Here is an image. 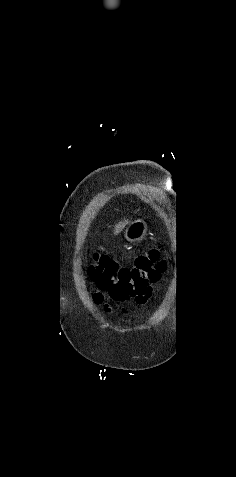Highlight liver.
<instances>
[{
    "label": "liver",
    "instance_id": "1",
    "mask_svg": "<svg viewBox=\"0 0 236 477\" xmlns=\"http://www.w3.org/2000/svg\"><path fill=\"white\" fill-rule=\"evenodd\" d=\"M127 224H128V220L119 222V223L115 226L114 234H115V235L119 234V233L124 229V227H125Z\"/></svg>",
    "mask_w": 236,
    "mask_h": 477
}]
</instances>
